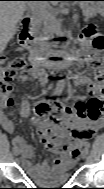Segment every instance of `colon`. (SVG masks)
<instances>
[{
	"mask_svg": "<svg viewBox=\"0 0 104 189\" xmlns=\"http://www.w3.org/2000/svg\"><path fill=\"white\" fill-rule=\"evenodd\" d=\"M83 41L90 43L98 52L104 50V36L99 34L94 26H88L84 30ZM25 67L26 60L23 56H15L4 60L0 79L1 103H6L8 106L13 105V99L10 96L12 89L11 83L16 77L17 72ZM92 68L97 76V79L101 80V63L97 58L93 60ZM85 107L88 111V115L92 114L95 117H99L103 113V103L101 100H90L86 103ZM68 111V108H60L57 106H39L37 108V113L43 120H51L56 113L63 114ZM40 134L43 141L47 145L54 147H62L64 145V140L56 135V128L53 125L40 129Z\"/></svg>",
	"mask_w": 104,
	"mask_h": 189,
	"instance_id": "colon-1",
	"label": "colon"
}]
</instances>
